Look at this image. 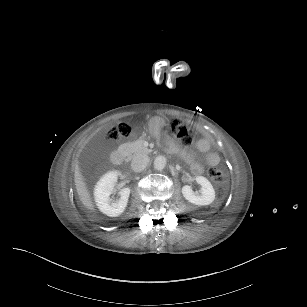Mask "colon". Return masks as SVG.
<instances>
[{
  "label": "colon",
  "instance_id": "5ec220e1",
  "mask_svg": "<svg viewBox=\"0 0 307 307\" xmlns=\"http://www.w3.org/2000/svg\"><path fill=\"white\" fill-rule=\"evenodd\" d=\"M170 129L176 140L182 146H188L194 139V132L188 123L181 119L175 118L171 121ZM130 134V125L120 123L110 129L108 137L111 140H119ZM209 177L216 183H224L226 181V173L219 167H212L209 170Z\"/></svg>",
  "mask_w": 307,
  "mask_h": 307
}]
</instances>
